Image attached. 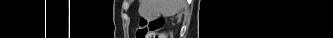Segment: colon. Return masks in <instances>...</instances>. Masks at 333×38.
<instances>
[{"label":"colon","instance_id":"obj_1","mask_svg":"<svg viewBox=\"0 0 333 38\" xmlns=\"http://www.w3.org/2000/svg\"><path fill=\"white\" fill-rule=\"evenodd\" d=\"M165 24L163 17L141 18L136 31V38H160L159 32Z\"/></svg>","mask_w":333,"mask_h":38}]
</instances>
